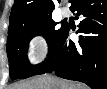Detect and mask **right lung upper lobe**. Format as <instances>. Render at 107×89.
<instances>
[{"instance_id": "right-lung-upper-lobe-1", "label": "right lung upper lobe", "mask_w": 107, "mask_h": 89, "mask_svg": "<svg viewBox=\"0 0 107 89\" xmlns=\"http://www.w3.org/2000/svg\"><path fill=\"white\" fill-rule=\"evenodd\" d=\"M75 0H70L71 4ZM54 5L52 0H15L10 13L9 27L51 17Z\"/></svg>"}]
</instances>
